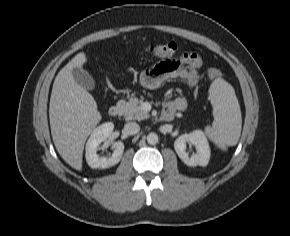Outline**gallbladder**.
Returning a JSON list of instances; mask_svg holds the SVG:
<instances>
[{
	"label": "gallbladder",
	"instance_id": "gallbladder-1",
	"mask_svg": "<svg viewBox=\"0 0 290 236\" xmlns=\"http://www.w3.org/2000/svg\"><path fill=\"white\" fill-rule=\"evenodd\" d=\"M75 81L86 90L95 89V81L93 77L83 68L75 67L72 70Z\"/></svg>",
	"mask_w": 290,
	"mask_h": 236
}]
</instances>
